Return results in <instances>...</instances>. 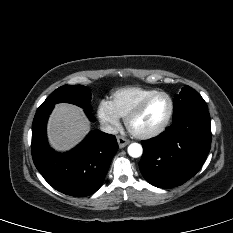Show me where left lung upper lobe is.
I'll return each mask as SVG.
<instances>
[{"instance_id":"obj_1","label":"left lung upper lobe","mask_w":233,"mask_h":233,"mask_svg":"<svg viewBox=\"0 0 233 233\" xmlns=\"http://www.w3.org/2000/svg\"><path fill=\"white\" fill-rule=\"evenodd\" d=\"M192 108H207V105L198 92L185 86L178 95H175L173 117Z\"/></svg>"}]
</instances>
